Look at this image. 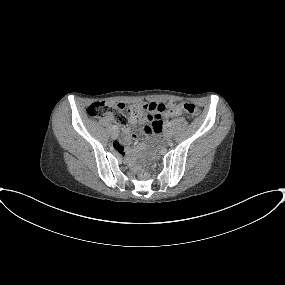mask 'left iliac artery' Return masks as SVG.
I'll use <instances>...</instances> for the list:
<instances>
[{
  "label": "left iliac artery",
  "instance_id": "left-iliac-artery-1",
  "mask_svg": "<svg viewBox=\"0 0 285 285\" xmlns=\"http://www.w3.org/2000/svg\"><path fill=\"white\" fill-rule=\"evenodd\" d=\"M167 126L170 127V126H171V122H168V123H167Z\"/></svg>",
  "mask_w": 285,
  "mask_h": 285
}]
</instances>
